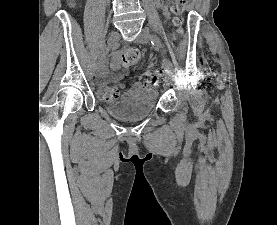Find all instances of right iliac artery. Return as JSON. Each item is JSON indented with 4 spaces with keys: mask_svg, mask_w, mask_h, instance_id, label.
<instances>
[{
    "mask_svg": "<svg viewBox=\"0 0 277 225\" xmlns=\"http://www.w3.org/2000/svg\"><path fill=\"white\" fill-rule=\"evenodd\" d=\"M109 51V48L108 47H104L102 50H101V54H100V58H99V63H102L103 59L106 58V55Z\"/></svg>",
    "mask_w": 277,
    "mask_h": 225,
    "instance_id": "82829eb1",
    "label": "right iliac artery"
}]
</instances>
